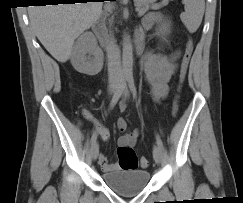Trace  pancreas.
Listing matches in <instances>:
<instances>
[{"mask_svg": "<svg viewBox=\"0 0 243 203\" xmlns=\"http://www.w3.org/2000/svg\"><path fill=\"white\" fill-rule=\"evenodd\" d=\"M156 0H134L136 9H139L141 12L146 13L149 9H158L161 6L168 4L169 0H163L160 4L155 5Z\"/></svg>", "mask_w": 243, "mask_h": 203, "instance_id": "1", "label": "pancreas"}]
</instances>
